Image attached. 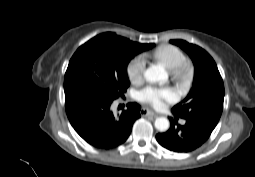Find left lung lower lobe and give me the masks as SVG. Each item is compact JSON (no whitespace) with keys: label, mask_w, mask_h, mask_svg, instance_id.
I'll list each match as a JSON object with an SVG mask.
<instances>
[{"label":"left lung lower lobe","mask_w":255,"mask_h":177,"mask_svg":"<svg viewBox=\"0 0 255 177\" xmlns=\"http://www.w3.org/2000/svg\"><path fill=\"white\" fill-rule=\"evenodd\" d=\"M171 127L165 133L156 135V140L164 148L186 153L201 146L211 135L213 127L186 119L185 125L181 126L173 119H170Z\"/></svg>","instance_id":"obj_1"}]
</instances>
